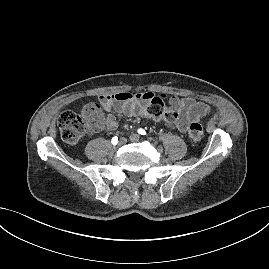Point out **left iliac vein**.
<instances>
[{"label":"left iliac vein","mask_w":269,"mask_h":269,"mask_svg":"<svg viewBox=\"0 0 269 269\" xmlns=\"http://www.w3.org/2000/svg\"><path fill=\"white\" fill-rule=\"evenodd\" d=\"M130 140L132 142H138L140 140V136L138 134H136V133H133V134L130 135Z\"/></svg>","instance_id":"1"}]
</instances>
